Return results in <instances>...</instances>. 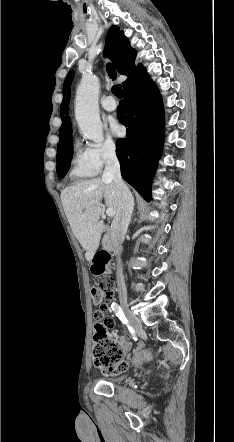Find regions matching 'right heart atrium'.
<instances>
[{"instance_id":"right-heart-atrium-1","label":"right heart atrium","mask_w":234,"mask_h":442,"mask_svg":"<svg viewBox=\"0 0 234 442\" xmlns=\"http://www.w3.org/2000/svg\"><path fill=\"white\" fill-rule=\"evenodd\" d=\"M117 145L111 138L89 147L91 159L98 171L117 156Z\"/></svg>"}]
</instances>
